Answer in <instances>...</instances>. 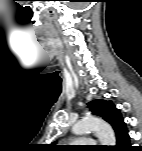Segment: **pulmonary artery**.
Returning a JSON list of instances; mask_svg holds the SVG:
<instances>
[{"instance_id": "1", "label": "pulmonary artery", "mask_w": 142, "mask_h": 151, "mask_svg": "<svg viewBox=\"0 0 142 151\" xmlns=\"http://www.w3.org/2000/svg\"><path fill=\"white\" fill-rule=\"evenodd\" d=\"M94 141L87 138H80L73 142V144H93Z\"/></svg>"}]
</instances>
